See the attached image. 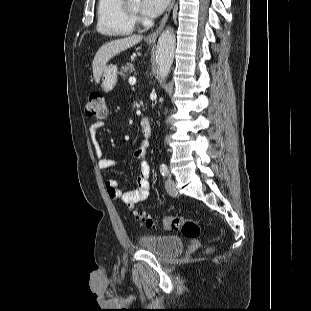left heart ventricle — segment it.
Wrapping results in <instances>:
<instances>
[{"label": "left heart ventricle", "mask_w": 311, "mask_h": 311, "mask_svg": "<svg viewBox=\"0 0 311 311\" xmlns=\"http://www.w3.org/2000/svg\"><path fill=\"white\" fill-rule=\"evenodd\" d=\"M128 5L132 11L138 12L141 7V2L140 0H129Z\"/></svg>", "instance_id": "1"}]
</instances>
